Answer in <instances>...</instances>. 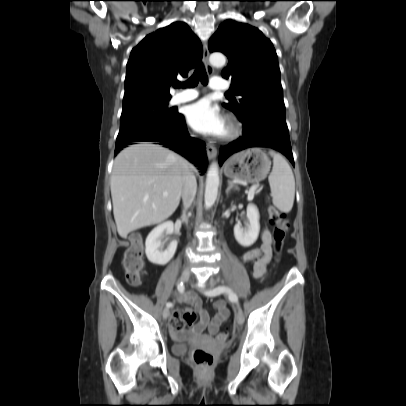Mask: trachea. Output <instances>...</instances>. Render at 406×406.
I'll use <instances>...</instances> for the list:
<instances>
[{"label":"trachea","mask_w":406,"mask_h":406,"mask_svg":"<svg viewBox=\"0 0 406 406\" xmlns=\"http://www.w3.org/2000/svg\"><path fill=\"white\" fill-rule=\"evenodd\" d=\"M201 81V83L203 85H207L208 84V77H207V73L206 70L204 68L203 65H199L195 72L193 73V75L185 82V83H179L177 85V87H189V88H193L195 87L198 82Z\"/></svg>","instance_id":"1"}]
</instances>
